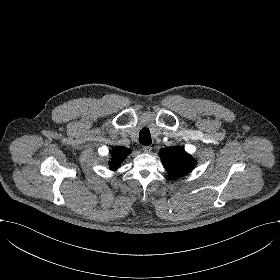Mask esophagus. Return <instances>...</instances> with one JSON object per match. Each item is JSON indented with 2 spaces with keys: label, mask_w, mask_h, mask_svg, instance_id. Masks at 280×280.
Returning a JSON list of instances; mask_svg holds the SVG:
<instances>
[{
  "label": "esophagus",
  "mask_w": 280,
  "mask_h": 280,
  "mask_svg": "<svg viewBox=\"0 0 280 280\" xmlns=\"http://www.w3.org/2000/svg\"><path fill=\"white\" fill-rule=\"evenodd\" d=\"M143 151L147 154L152 152V146L147 145V146H143Z\"/></svg>",
  "instance_id": "obj_1"
}]
</instances>
